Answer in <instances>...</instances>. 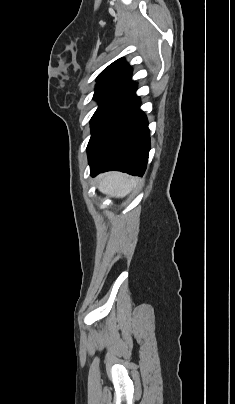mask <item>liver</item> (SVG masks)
Segmentation results:
<instances>
[{"mask_svg": "<svg viewBox=\"0 0 235 404\" xmlns=\"http://www.w3.org/2000/svg\"><path fill=\"white\" fill-rule=\"evenodd\" d=\"M138 182L137 178L120 172H109L98 177V190L116 198L128 195Z\"/></svg>", "mask_w": 235, "mask_h": 404, "instance_id": "1", "label": "liver"}]
</instances>
